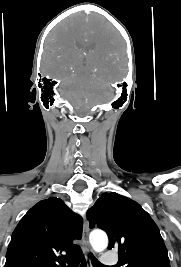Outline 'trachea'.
Segmentation results:
<instances>
[{"label": "trachea", "instance_id": "obj_1", "mask_svg": "<svg viewBox=\"0 0 181 267\" xmlns=\"http://www.w3.org/2000/svg\"><path fill=\"white\" fill-rule=\"evenodd\" d=\"M93 267H106L101 264L92 254L90 255ZM68 267H78L79 261L77 259H68L67 260Z\"/></svg>", "mask_w": 181, "mask_h": 267}]
</instances>
